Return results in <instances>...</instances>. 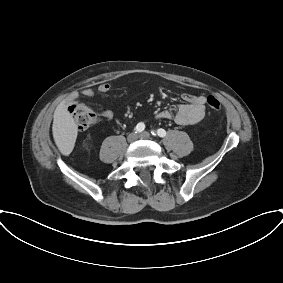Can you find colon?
<instances>
[{"instance_id": "1", "label": "colon", "mask_w": 283, "mask_h": 283, "mask_svg": "<svg viewBox=\"0 0 283 283\" xmlns=\"http://www.w3.org/2000/svg\"><path fill=\"white\" fill-rule=\"evenodd\" d=\"M206 102L210 110L214 112L220 110V102L215 96H208ZM69 113L80 129H86L96 121L95 113L84 106L73 105L69 108Z\"/></svg>"}]
</instances>
